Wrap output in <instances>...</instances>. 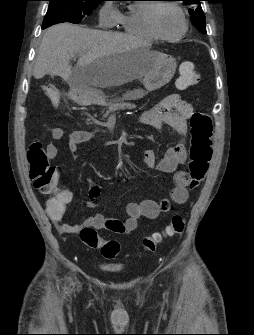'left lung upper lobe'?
Instances as JSON below:
<instances>
[{
  "instance_id": "left-lung-upper-lobe-1",
  "label": "left lung upper lobe",
  "mask_w": 254,
  "mask_h": 335,
  "mask_svg": "<svg viewBox=\"0 0 254 335\" xmlns=\"http://www.w3.org/2000/svg\"><path fill=\"white\" fill-rule=\"evenodd\" d=\"M188 5H192L193 9H190L189 13L191 14V21L195 25V27L206 34V27H205V15L200 5L201 0H182Z\"/></svg>"
}]
</instances>
